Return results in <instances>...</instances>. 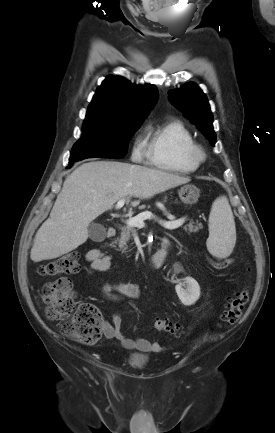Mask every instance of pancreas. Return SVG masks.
<instances>
[{
	"instance_id": "cf45deb5",
	"label": "pancreas",
	"mask_w": 275,
	"mask_h": 433,
	"mask_svg": "<svg viewBox=\"0 0 275 433\" xmlns=\"http://www.w3.org/2000/svg\"><path fill=\"white\" fill-rule=\"evenodd\" d=\"M202 228V224L200 223H194L193 221H190L188 224L183 226V229L185 231H188L189 233H196L199 231V229ZM136 234V228L133 226H123L121 228V236L118 240V246L120 250L123 252L128 248L127 242Z\"/></svg>"
}]
</instances>
